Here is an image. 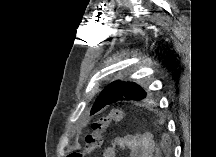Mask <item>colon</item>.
Returning <instances> with one entry per match:
<instances>
[{
  "mask_svg": "<svg viewBox=\"0 0 216 157\" xmlns=\"http://www.w3.org/2000/svg\"><path fill=\"white\" fill-rule=\"evenodd\" d=\"M126 114L121 108L112 109L107 115L94 121L91 131L86 136V145L83 151L71 152L68 157H84L102 146L103 136L107 128L116 122L124 120Z\"/></svg>",
  "mask_w": 216,
  "mask_h": 157,
  "instance_id": "colon-1",
  "label": "colon"
}]
</instances>
